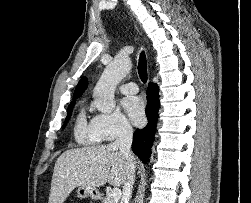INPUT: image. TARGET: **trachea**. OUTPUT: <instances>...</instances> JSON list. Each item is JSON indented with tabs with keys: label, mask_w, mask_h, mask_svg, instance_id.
Listing matches in <instances>:
<instances>
[{
	"label": "trachea",
	"mask_w": 251,
	"mask_h": 203,
	"mask_svg": "<svg viewBox=\"0 0 251 203\" xmlns=\"http://www.w3.org/2000/svg\"><path fill=\"white\" fill-rule=\"evenodd\" d=\"M138 73L143 83L147 82V60L144 52H141L138 63Z\"/></svg>",
	"instance_id": "obj_1"
}]
</instances>
